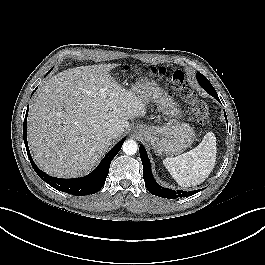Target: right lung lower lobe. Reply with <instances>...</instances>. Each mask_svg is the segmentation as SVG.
Masks as SVG:
<instances>
[{
    "label": "right lung lower lobe",
    "mask_w": 265,
    "mask_h": 265,
    "mask_svg": "<svg viewBox=\"0 0 265 265\" xmlns=\"http://www.w3.org/2000/svg\"><path fill=\"white\" fill-rule=\"evenodd\" d=\"M28 109L29 107L27 108L26 116L24 119L23 137L29 160L31 162L33 169L38 174V176L42 178V180H46L53 188H56L59 191L66 192L75 196H84L98 192L104 186L106 177L109 172L111 161L120 151L122 144L125 141V138L122 139L118 144H116L103 158V160L100 162L98 167L87 176L81 178H74V179L53 178L51 176H48L43 171H41L36 166L30 155L27 143V135H26Z\"/></svg>",
    "instance_id": "1"
}]
</instances>
